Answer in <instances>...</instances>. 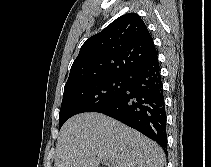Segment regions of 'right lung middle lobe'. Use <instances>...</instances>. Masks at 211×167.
Segmentation results:
<instances>
[{"label": "right lung middle lobe", "mask_w": 211, "mask_h": 167, "mask_svg": "<svg viewBox=\"0 0 211 167\" xmlns=\"http://www.w3.org/2000/svg\"><path fill=\"white\" fill-rule=\"evenodd\" d=\"M126 87L125 76H107L64 89L59 114V129L70 117L95 112L121 94Z\"/></svg>", "instance_id": "1"}]
</instances>
